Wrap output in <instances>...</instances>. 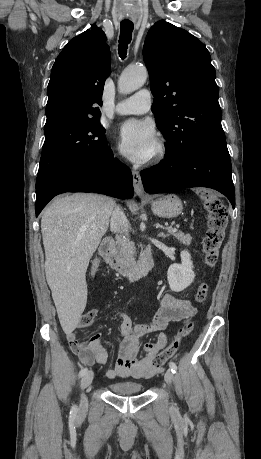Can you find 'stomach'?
Listing matches in <instances>:
<instances>
[{"mask_svg": "<svg viewBox=\"0 0 261 459\" xmlns=\"http://www.w3.org/2000/svg\"><path fill=\"white\" fill-rule=\"evenodd\" d=\"M153 213L163 218H174L181 214L183 205L181 200L173 194L149 200Z\"/></svg>", "mask_w": 261, "mask_h": 459, "instance_id": "0dacf381", "label": "stomach"}]
</instances>
